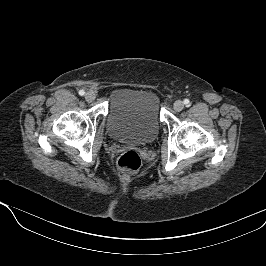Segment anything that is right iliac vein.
Segmentation results:
<instances>
[{
  "instance_id": "1",
  "label": "right iliac vein",
  "mask_w": 266,
  "mask_h": 266,
  "mask_svg": "<svg viewBox=\"0 0 266 266\" xmlns=\"http://www.w3.org/2000/svg\"><path fill=\"white\" fill-rule=\"evenodd\" d=\"M95 98H96V96H95V94L93 92H87L85 94V99H86L87 102H92V101L95 100Z\"/></svg>"
}]
</instances>
